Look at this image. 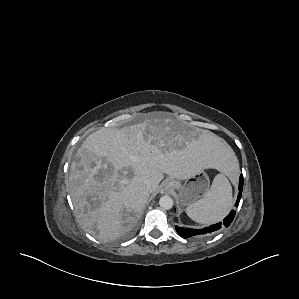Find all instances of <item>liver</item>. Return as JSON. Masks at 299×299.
<instances>
[{
	"label": "liver",
	"instance_id": "liver-1",
	"mask_svg": "<svg viewBox=\"0 0 299 299\" xmlns=\"http://www.w3.org/2000/svg\"><path fill=\"white\" fill-rule=\"evenodd\" d=\"M235 162L222 138L159 114L90 134L71 163L68 188L81 226L112 240L128 230L164 174L185 180L206 168L227 173Z\"/></svg>",
	"mask_w": 299,
	"mask_h": 299
}]
</instances>
